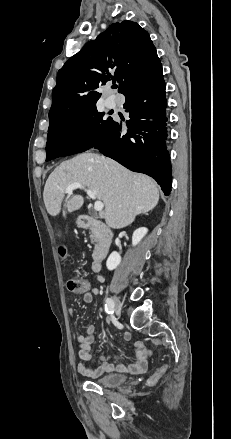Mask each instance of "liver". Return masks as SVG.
Listing matches in <instances>:
<instances>
[{"instance_id":"1","label":"liver","mask_w":231,"mask_h":439,"mask_svg":"<svg viewBox=\"0 0 231 439\" xmlns=\"http://www.w3.org/2000/svg\"><path fill=\"white\" fill-rule=\"evenodd\" d=\"M73 183L95 193L105 206L106 224L114 229L130 225L137 215L148 213L159 201L157 184L152 178L132 173L110 158L82 153L62 162L46 181L43 200L51 216L60 213L63 201L68 212L82 207L81 195L65 199L66 188Z\"/></svg>"}]
</instances>
